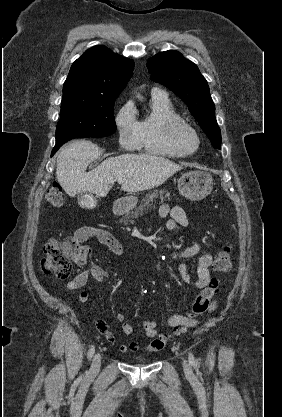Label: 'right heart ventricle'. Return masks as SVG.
<instances>
[{"label": "right heart ventricle", "instance_id": "obj_1", "mask_svg": "<svg viewBox=\"0 0 282 417\" xmlns=\"http://www.w3.org/2000/svg\"><path fill=\"white\" fill-rule=\"evenodd\" d=\"M130 112L137 121L139 141L142 147L160 155H181L169 144L167 137L160 130V122L165 118H179L167 97L153 96L150 110L140 118L134 107H130Z\"/></svg>", "mask_w": 282, "mask_h": 417}]
</instances>
